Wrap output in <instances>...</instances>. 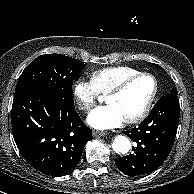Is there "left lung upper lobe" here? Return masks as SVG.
Instances as JSON below:
<instances>
[{"label": "left lung upper lobe", "instance_id": "5c2ea615", "mask_svg": "<svg viewBox=\"0 0 194 194\" xmlns=\"http://www.w3.org/2000/svg\"><path fill=\"white\" fill-rule=\"evenodd\" d=\"M157 66H158V65H157ZM159 68H161V67H159ZM161 69H162V68H161ZM168 94H175V95H177V90H176V88H172ZM166 95H167V94H166Z\"/></svg>", "mask_w": 194, "mask_h": 194}]
</instances>
